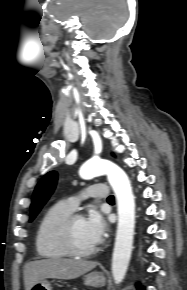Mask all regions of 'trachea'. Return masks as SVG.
<instances>
[{
  "label": "trachea",
  "mask_w": 187,
  "mask_h": 290,
  "mask_svg": "<svg viewBox=\"0 0 187 290\" xmlns=\"http://www.w3.org/2000/svg\"><path fill=\"white\" fill-rule=\"evenodd\" d=\"M107 200L108 201H113L114 200V196L113 195H110Z\"/></svg>",
  "instance_id": "1"
}]
</instances>
